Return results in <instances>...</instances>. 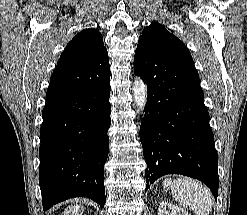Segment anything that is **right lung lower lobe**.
<instances>
[{"instance_id": "right-lung-lower-lobe-1", "label": "right lung lower lobe", "mask_w": 247, "mask_h": 215, "mask_svg": "<svg viewBox=\"0 0 247 215\" xmlns=\"http://www.w3.org/2000/svg\"><path fill=\"white\" fill-rule=\"evenodd\" d=\"M110 89L107 52L88 63L63 61L55 67L40 129L39 184L44 211L74 197H87L104 206Z\"/></svg>"}]
</instances>
